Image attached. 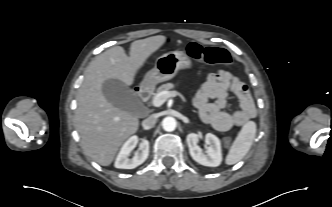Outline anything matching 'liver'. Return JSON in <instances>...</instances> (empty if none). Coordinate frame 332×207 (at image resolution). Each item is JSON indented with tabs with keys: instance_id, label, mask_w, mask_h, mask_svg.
Returning a JSON list of instances; mask_svg holds the SVG:
<instances>
[{
	"instance_id": "1",
	"label": "liver",
	"mask_w": 332,
	"mask_h": 207,
	"mask_svg": "<svg viewBox=\"0 0 332 207\" xmlns=\"http://www.w3.org/2000/svg\"><path fill=\"white\" fill-rule=\"evenodd\" d=\"M166 41L153 36L131 43L130 57L121 46L112 47L85 70L84 81L78 91L75 126L84 153L102 166H109L123 142L139 127V119L113 106L102 93V84L117 79L130 86L147 59Z\"/></svg>"
}]
</instances>
